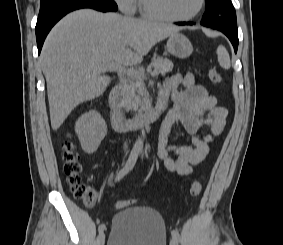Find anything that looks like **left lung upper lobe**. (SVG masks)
Here are the masks:
<instances>
[{"instance_id":"5c2ea615","label":"left lung upper lobe","mask_w":283,"mask_h":245,"mask_svg":"<svg viewBox=\"0 0 283 245\" xmlns=\"http://www.w3.org/2000/svg\"><path fill=\"white\" fill-rule=\"evenodd\" d=\"M201 24L238 33L235 9L230 0H206Z\"/></svg>"}]
</instances>
